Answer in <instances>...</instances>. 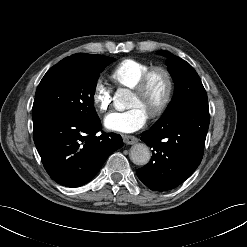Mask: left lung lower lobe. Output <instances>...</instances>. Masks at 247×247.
I'll return each instance as SVG.
<instances>
[{"label":"left lung lower lobe","mask_w":247,"mask_h":247,"mask_svg":"<svg viewBox=\"0 0 247 247\" xmlns=\"http://www.w3.org/2000/svg\"><path fill=\"white\" fill-rule=\"evenodd\" d=\"M207 101L161 117L141 140L152 148L148 164L137 169L138 178L151 190L166 191L183 183L199 166L209 127Z\"/></svg>","instance_id":"left-lung-lower-lobe-1"}]
</instances>
